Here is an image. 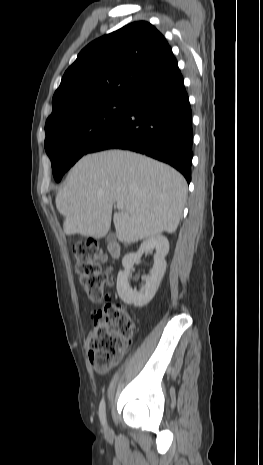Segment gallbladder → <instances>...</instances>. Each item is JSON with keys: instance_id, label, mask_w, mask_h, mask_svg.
I'll list each match as a JSON object with an SVG mask.
<instances>
[{"instance_id": "obj_1", "label": "gallbladder", "mask_w": 263, "mask_h": 465, "mask_svg": "<svg viewBox=\"0 0 263 465\" xmlns=\"http://www.w3.org/2000/svg\"><path fill=\"white\" fill-rule=\"evenodd\" d=\"M106 239H107L108 242H111V241H113V240L115 239V235L112 234V233H110V234L107 236Z\"/></svg>"}]
</instances>
